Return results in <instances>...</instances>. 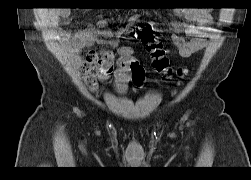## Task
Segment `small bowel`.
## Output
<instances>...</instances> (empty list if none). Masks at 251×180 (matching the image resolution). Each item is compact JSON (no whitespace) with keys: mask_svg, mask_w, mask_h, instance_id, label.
I'll return each instance as SVG.
<instances>
[{"mask_svg":"<svg viewBox=\"0 0 251 180\" xmlns=\"http://www.w3.org/2000/svg\"><path fill=\"white\" fill-rule=\"evenodd\" d=\"M176 14L185 21L173 23L175 33L171 36V40L178 49L179 55L188 58L206 46V34L212 17L204 8L180 9L176 11ZM69 15L68 8L49 11V23L56 27ZM138 18L139 15H133L130 21L134 22ZM182 32L187 35V38L179 34ZM118 34L120 32H114L104 22H100L96 29L87 28L77 32L64 30L59 33L61 44L73 57H76L84 48L93 45H98L103 49L102 52H89L81 66L84 82L92 91H96L99 84L109 79L112 74L115 77V90L119 94L126 91L130 81L137 86L142 85L144 81L143 68L133 59L131 49L120 46L114 39Z\"/></svg>","mask_w":251,"mask_h":180,"instance_id":"obj_1","label":"small bowel"}]
</instances>
